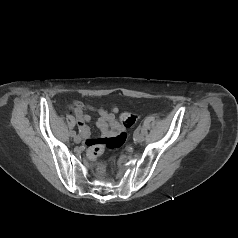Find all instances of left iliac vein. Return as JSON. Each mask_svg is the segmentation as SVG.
Returning a JSON list of instances; mask_svg holds the SVG:
<instances>
[{"label": "left iliac vein", "instance_id": "4c4485c4", "mask_svg": "<svg viewBox=\"0 0 238 238\" xmlns=\"http://www.w3.org/2000/svg\"><path fill=\"white\" fill-rule=\"evenodd\" d=\"M136 142L141 143L144 141V135L141 133H138L135 137Z\"/></svg>", "mask_w": 238, "mask_h": 238}]
</instances>
